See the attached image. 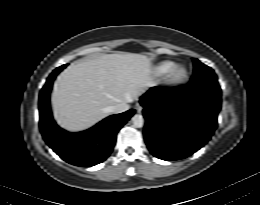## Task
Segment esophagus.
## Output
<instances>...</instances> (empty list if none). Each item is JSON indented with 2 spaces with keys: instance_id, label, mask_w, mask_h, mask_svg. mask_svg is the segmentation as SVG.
Segmentation results:
<instances>
[{
  "instance_id": "esophagus-1",
  "label": "esophagus",
  "mask_w": 260,
  "mask_h": 205,
  "mask_svg": "<svg viewBox=\"0 0 260 205\" xmlns=\"http://www.w3.org/2000/svg\"><path fill=\"white\" fill-rule=\"evenodd\" d=\"M143 107L140 104H136V110L138 113L142 112Z\"/></svg>"
}]
</instances>
